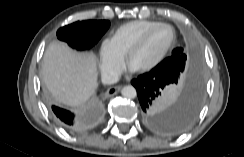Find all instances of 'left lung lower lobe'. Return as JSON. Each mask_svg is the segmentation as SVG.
<instances>
[{
  "label": "left lung lower lobe",
  "instance_id": "1",
  "mask_svg": "<svg viewBox=\"0 0 244 157\" xmlns=\"http://www.w3.org/2000/svg\"><path fill=\"white\" fill-rule=\"evenodd\" d=\"M180 76L152 69L131 83L137 90L145 121L154 131L177 135L195 121L204 96V80L198 67L189 71L186 84L177 101H166V94L180 82Z\"/></svg>",
  "mask_w": 244,
  "mask_h": 157
}]
</instances>
